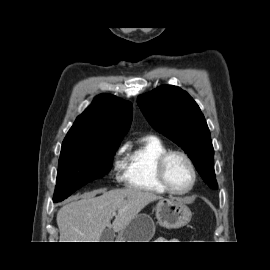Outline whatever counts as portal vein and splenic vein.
Masks as SVG:
<instances>
[{
    "instance_id": "1",
    "label": "portal vein and splenic vein",
    "mask_w": 270,
    "mask_h": 270,
    "mask_svg": "<svg viewBox=\"0 0 270 270\" xmlns=\"http://www.w3.org/2000/svg\"><path fill=\"white\" fill-rule=\"evenodd\" d=\"M113 215H116V213H115V212H113Z\"/></svg>"
}]
</instances>
